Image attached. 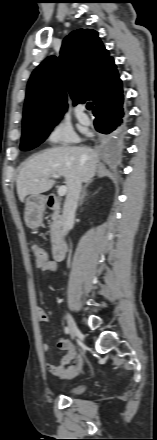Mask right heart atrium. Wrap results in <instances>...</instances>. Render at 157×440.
<instances>
[{
  "mask_svg": "<svg viewBox=\"0 0 157 440\" xmlns=\"http://www.w3.org/2000/svg\"><path fill=\"white\" fill-rule=\"evenodd\" d=\"M78 140L77 134L66 120H54L45 134V141L49 144H72Z\"/></svg>",
  "mask_w": 157,
  "mask_h": 440,
  "instance_id": "1",
  "label": "right heart atrium"
}]
</instances>
